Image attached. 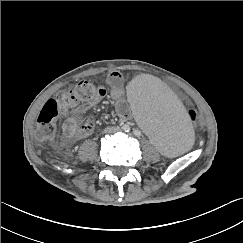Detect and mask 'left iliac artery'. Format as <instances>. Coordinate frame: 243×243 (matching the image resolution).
<instances>
[{
  "instance_id": "44dca946",
  "label": "left iliac artery",
  "mask_w": 243,
  "mask_h": 243,
  "mask_svg": "<svg viewBox=\"0 0 243 243\" xmlns=\"http://www.w3.org/2000/svg\"><path fill=\"white\" fill-rule=\"evenodd\" d=\"M134 133H135V135H137V131L136 130L134 131Z\"/></svg>"
}]
</instances>
